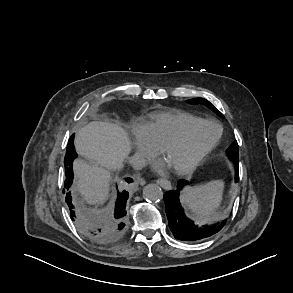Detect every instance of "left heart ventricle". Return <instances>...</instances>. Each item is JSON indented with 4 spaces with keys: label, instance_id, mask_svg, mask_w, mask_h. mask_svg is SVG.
I'll return each instance as SVG.
<instances>
[{
    "label": "left heart ventricle",
    "instance_id": "b2bd125f",
    "mask_svg": "<svg viewBox=\"0 0 293 293\" xmlns=\"http://www.w3.org/2000/svg\"><path fill=\"white\" fill-rule=\"evenodd\" d=\"M217 129L210 125L196 126L187 134L184 142L164 155L172 167L186 164L193 159L216 135Z\"/></svg>",
    "mask_w": 293,
    "mask_h": 293
}]
</instances>
